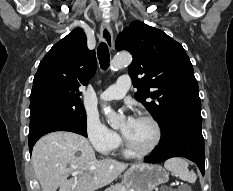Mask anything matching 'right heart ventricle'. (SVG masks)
Here are the masks:
<instances>
[{
    "mask_svg": "<svg viewBox=\"0 0 233 191\" xmlns=\"http://www.w3.org/2000/svg\"><path fill=\"white\" fill-rule=\"evenodd\" d=\"M126 155L132 156L133 154L129 151H126Z\"/></svg>",
    "mask_w": 233,
    "mask_h": 191,
    "instance_id": "1",
    "label": "right heart ventricle"
}]
</instances>
